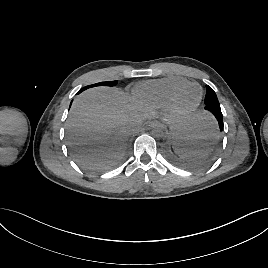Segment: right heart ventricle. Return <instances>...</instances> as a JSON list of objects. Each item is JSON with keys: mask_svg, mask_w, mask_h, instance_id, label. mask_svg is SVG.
<instances>
[{"mask_svg": "<svg viewBox=\"0 0 268 268\" xmlns=\"http://www.w3.org/2000/svg\"><path fill=\"white\" fill-rule=\"evenodd\" d=\"M188 83V80L181 77L145 81L136 86L135 95L146 105L161 107L169 104L173 93Z\"/></svg>", "mask_w": 268, "mask_h": 268, "instance_id": "obj_1", "label": "right heart ventricle"}]
</instances>
